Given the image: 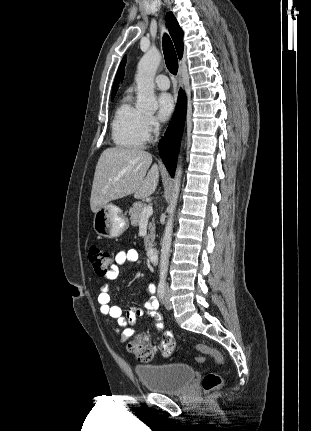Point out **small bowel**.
<instances>
[{
    "label": "small bowel",
    "instance_id": "small-bowel-1",
    "mask_svg": "<svg viewBox=\"0 0 311 431\" xmlns=\"http://www.w3.org/2000/svg\"><path fill=\"white\" fill-rule=\"evenodd\" d=\"M139 266L141 264L140 256L137 250L129 249L126 251L118 252L114 257V262L110 265V269L106 274V278L109 281L115 280L125 265ZM149 297L144 301L140 307H134L129 309L126 313L123 312L120 306L111 304V297L108 292L107 285H103L97 296V302L100 306V311L104 315H108L117 320L120 327L124 330L121 333V340L125 341L131 337L134 333L133 329L129 328L130 325L135 324L137 318L144 315H148L155 320V325L158 329L163 327L162 318L158 313L159 301L155 293V285L150 283L148 285ZM167 337L172 338L171 332H167Z\"/></svg>",
    "mask_w": 311,
    "mask_h": 431
}]
</instances>
